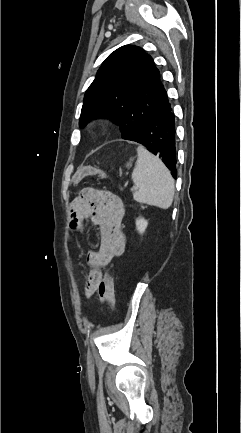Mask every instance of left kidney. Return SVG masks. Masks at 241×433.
<instances>
[{"label":"left kidney","instance_id":"5707ae66","mask_svg":"<svg viewBox=\"0 0 241 433\" xmlns=\"http://www.w3.org/2000/svg\"><path fill=\"white\" fill-rule=\"evenodd\" d=\"M135 224H136L137 231L140 234H143L148 226V222L144 218H138Z\"/></svg>","mask_w":241,"mask_h":433}]
</instances>
